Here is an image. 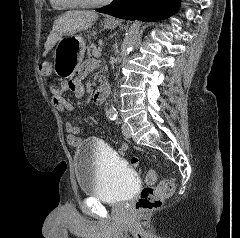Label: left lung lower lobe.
<instances>
[{
    "label": "left lung lower lobe",
    "mask_w": 240,
    "mask_h": 238,
    "mask_svg": "<svg viewBox=\"0 0 240 238\" xmlns=\"http://www.w3.org/2000/svg\"><path fill=\"white\" fill-rule=\"evenodd\" d=\"M180 0H114L96 11L127 20L156 21L174 14Z\"/></svg>",
    "instance_id": "0a47b994"
}]
</instances>
